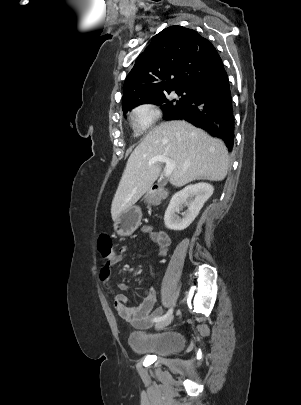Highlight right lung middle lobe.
I'll return each instance as SVG.
<instances>
[{"label":"right lung middle lobe","instance_id":"obj_1","mask_svg":"<svg viewBox=\"0 0 301 405\" xmlns=\"http://www.w3.org/2000/svg\"><path fill=\"white\" fill-rule=\"evenodd\" d=\"M171 91L172 90H169L167 92H163V93H159V94L147 97L140 104L151 103V104L160 105L164 111V118H166L168 115H170L175 110L189 104L195 95V92L191 91V90L176 89V93L178 94V96H181V97L174 99L172 101H169L167 99V95ZM184 92H186V95H183ZM129 110H131V109H129ZM123 111H124V113H126L128 110H123Z\"/></svg>","mask_w":301,"mask_h":405}]
</instances>
